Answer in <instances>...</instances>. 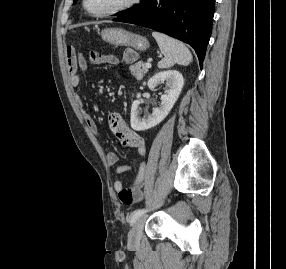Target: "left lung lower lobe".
<instances>
[{
  "label": "left lung lower lobe",
  "mask_w": 286,
  "mask_h": 269,
  "mask_svg": "<svg viewBox=\"0 0 286 269\" xmlns=\"http://www.w3.org/2000/svg\"><path fill=\"white\" fill-rule=\"evenodd\" d=\"M214 6L215 0H149L142 9L115 21L147 27L188 43L202 68Z\"/></svg>",
  "instance_id": "obj_1"
}]
</instances>
